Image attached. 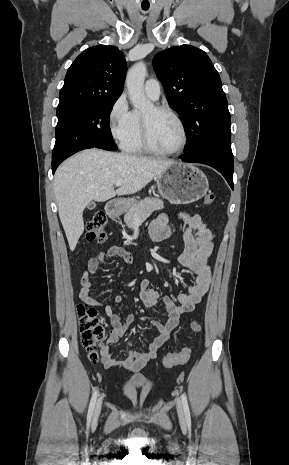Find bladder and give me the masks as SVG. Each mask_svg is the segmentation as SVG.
I'll use <instances>...</instances> for the list:
<instances>
[{"instance_id":"1","label":"bladder","mask_w":289,"mask_h":465,"mask_svg":"<svg viewBox=\"0 0 289 465\" xmlns=\"http://www.w3.org/2000/svg\"><path fill=\"white\" fill-rule=\"evenodd\" d=\"M125 386L133 389H145L149 387V383L144 378H134L128 380Z\"/></svg>"}]
</instances>
